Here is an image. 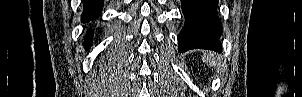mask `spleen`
Wrapping results in <instances>:
<instances>
[{"label": "spleen", "instance_id": "1", "mask_svg": "<svg viewBox=\"0 0 302 97\" xmlns=\"http://www.w3.org/2000/svg\"><path fill=\"white\" fill-rule=\"evenodd\" d=\"M203 62H205L207 65L211 66V65H217L216 59H215V54L208 51L206 53H204L203 57H202Z\"/></svg>", "mask_w": 302, "mask_h": 97}]
</instances>
